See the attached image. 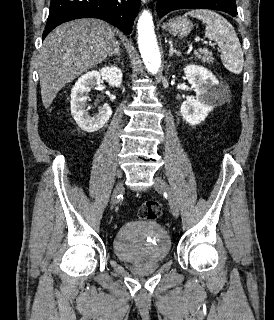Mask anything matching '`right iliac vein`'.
<instances>
[{"label": "right iliac vein", "instance_id": "63e3f726", "mask_svg": "<svg viewBox=\"0 0 274 320\" xmlns=\"http://www.w3.org/2000/svg\"><path fill=\"white\" fill-rule=\"evenodd\" d=\"M124 192V186H123V183L120 182L117 184L115 190H114V194H113V197H112V200H111V206L113 207L116 203V197L118 194H121Z\"/></svg>", "mask_w": 274, "mask_h": 320}]
</instances>
